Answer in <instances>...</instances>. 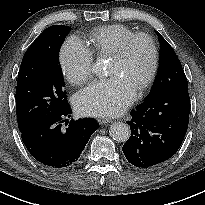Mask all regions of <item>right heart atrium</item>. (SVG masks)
<instances>
[{
  "label": "right heart atrium",
  "mask_w": 205,
  "mask_h": 205,
  "mask_svg": "<svg viewBox=\"0 0 205 205\" xmlns=\"http://www.w3.org/2000/svg\"><path fill=\"white\" fill-rule=\"evenodd\" d=\"M93 60L92 52L77 36L68 37L59 51L62 72L73 85H80L91 77Z\"/></svg>",
  "instance_id": "obj_1"
}]
</instances>
